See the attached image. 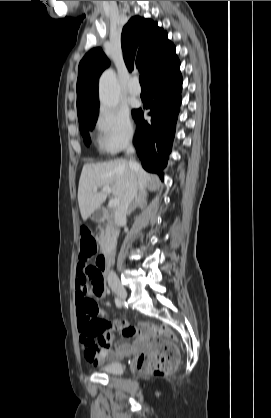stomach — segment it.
<instances>
[{
    "label": "stomach",
    "instance_id": "0dacf381",
    "mask_svg": "<svg viewBox=\"0 0 271 418\" xmlns=\"http://www.w3.org/2000/svg\"><path fill=\"white\" fill-rule=\"evenodd\" d=\"M90 219H91L92 221H96V222H98V221H100V220H101V217H100V215L98 214V212H97V211H95V212H93V213L90 215Z\"/></svg>",
    "mask_w": 271,
    "mask_h": 418
}]
</instances>
